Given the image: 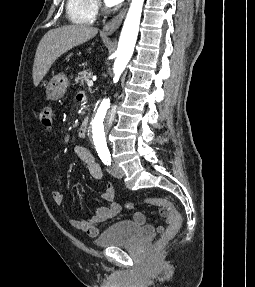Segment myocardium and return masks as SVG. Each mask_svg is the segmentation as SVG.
<instances>
[{"label": "myocardium", "mask_w": 255, "mask_h": 287, "mask_svg": "<svg viewBox=\"0 0 255 287\" xmlns=\"http://www.w3.org/2000/svg\"><path fill=\"white\" fill-rule=\"evenodd\" d=\"M102 33H106V32H102ZM110 39H116V38H110ZM126 48H128V47H126Z\"/></svg>", "instance_id": "myocardium-1"}]
</instances>
